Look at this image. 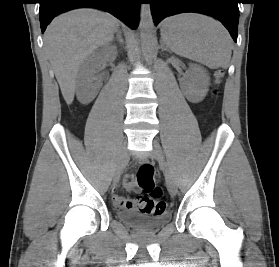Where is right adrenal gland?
Instances as JSON below:
<instances>
[{"instance_id": "1", "label": "right adrenal gland", "mask_w": 279, "mask_h": 267, "mask_svg": "<svg viewBox=\"0 0 279 267\" xmlns=\"http://www.w3.org/2000/svg\"><path fill=\"white\" fill-rule=\"evenodd\" d=\"M122 33H121V31L120 30H118L117 31V35H116V40L119 42V44L122 46L123 45V39H122V35H121ZM113 40H115V39H113Z\"/></svg>"}]
</instances>
